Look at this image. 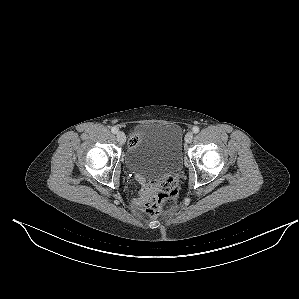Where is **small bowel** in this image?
I'll return each instance as SVG.
<instances>
[{
  "instance_id": "small-bowel-1",
  "label": "small bowel",
  "mask_w": 299,
  "mask_h": 299,
  "mask_svg": "<svg viewBox=\"0 0 299 299\" xmlns=\"http://www.w3.org/2000/svg\"><path fill=\"white\" fill-rule=\"evenodd\" d=\"M151 186L144 184L141 191L138 194V197L135 200V203L139 206L146 204L150 196Z\"/></svg>"
}]
</instances>
